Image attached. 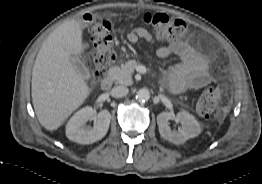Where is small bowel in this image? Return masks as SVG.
<instances>
[{"mask_svg": "<svg viewBox=\"0 0 262 184\" xmlns=\"http://www.w3.org/2000/svg\"><path fill=\"white\" fill-rule=\"evenodd\" d=\"M125 38L131 43L140 41L155 43L152 34L143 27L130 30L126 33ZM172 54L177 55L181 61L168 73L170 88L174 93H182L189 89H201L213 81L210 73V59L196 51L187 42H174L157 49V55L160 58H167Z\"/></svg>", "mask_w": 262, "mask_h": 184, "instance_id": "obj_1", "label": "small bowel"}]
</instances>
